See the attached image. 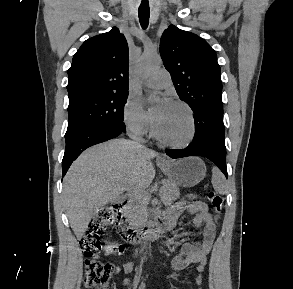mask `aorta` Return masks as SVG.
I'll use <instances>...</instances> for the list:
<instances>
[{
	"instance_id": "obj_1",
	"label": "aorta",
	"mask_w": 293,
	"mask_h": 289,
	"mask_svg": "<svg viewBox=\"0 0 293 289\" xmlns=\"http://www.w3.org/2000/svg\"><path fill=\"white\" fill-rule=\"evenodd\" d=\"M160 65H161V59L158 55L144 54L139 64V71L142 75L146 76L158 70L160 68ZM149 99L156 100L157 96L155 94H151L149 96ZM150 235H151V230H148L146 235V240L149 239ZM145 244L147 245V242Z\"/></svg>"
}]
</instances>
